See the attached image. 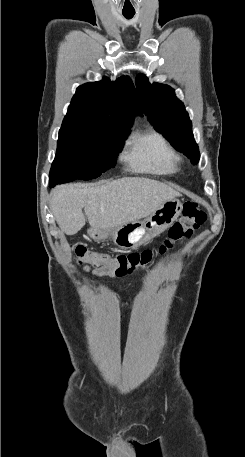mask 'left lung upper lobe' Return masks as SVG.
Segmentation results:
<instances>
[{
  "instance_id": "5c2ea615",
  "label": "left lung upper lobe",
  "mask_w": 245,
  "mask_h": 457,
  "mask_svg": "<svg viewBox=\"0 0 245 457\" xmlns=\"http://www.w3.org/2000/svg\"><path fill=\"white\" fill-rule=\"evenodd\" d=\"M136 88L144 113L155 129L178 151L197 164L200 158L198 145L192 134V123L184 104L174 90L164 84H150L143 74L136 76Z\"/></svg>"
}]
</instances>
